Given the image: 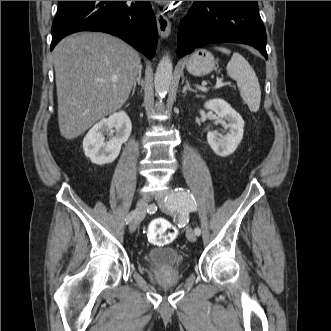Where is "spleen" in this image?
Here are the masks:
<instances>
[{
	"label": "spleen",
	"instance_id": "1",
	"mask_svg": "<svg viewBox=\"0 0 331 331\" xmlns=\"http://www.w3.org/2000/svg\"><path fill=\"white\" fill-rule=\"evenodd\" d=\"M217 50L230 54V50L216 47ZM227 74L236 80L240 95L252 112H257L261 102V89L258 78L248 61L238 52H234L227 67Z\"/></svg>",
	"mask_w": 331,
	"mask_h": 331
}]
</instances>
